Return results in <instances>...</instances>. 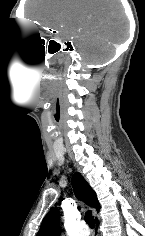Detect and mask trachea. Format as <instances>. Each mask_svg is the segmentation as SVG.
<instances>
[{
    "label": "trachea",
    "mask_w": 145,
    "mask_h": 236,
    "mask_svg": "<svg viewBox=\"0 0 145 236\" xmlns=\"http://www.w3.org/2000/svg\"><path fill=\"white\" fill-rule=\"evenodd\" d=\"M85 221L86 223L91 227L94 228L95 227V223L92 217V212L91 211H87L85 214Z\"/></svg>",
    "instance_id": "trachea-1"
}]
</instances>
